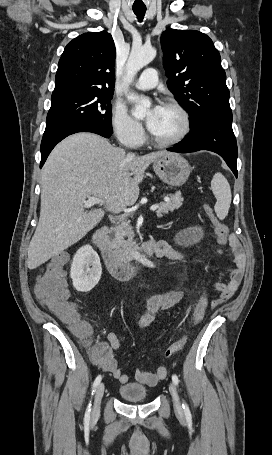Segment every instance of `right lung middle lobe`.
<instances>
[{"instance_id": "obj_1", "label": "right lung middle lobe", "mask_w": 272, "mask_h": 455, "mask_svg": "<svg viewBox=\"0 0 272 455\" xmlns=\"http://www.w3.org/2000/svg\"><path fill=\"white\" fill-rule=\"evenodd\" d=\"M112 96L113 94L72 96L52 100L46 128L66 123L92 122L113 132Z\"/></svg>"}]
</instances>
